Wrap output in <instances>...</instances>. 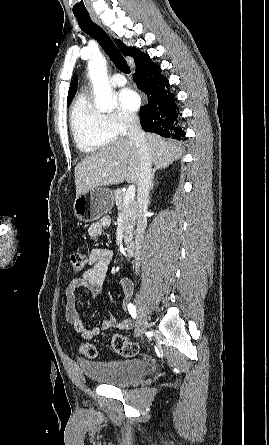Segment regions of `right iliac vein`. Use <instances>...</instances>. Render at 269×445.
Segmentation results:
<instances>
[{"label":"right iliac vein","instance_id":"obj_1","mask_svg":"<svg viewBox=\"0 0 269 445\" xmlns=\"http://www.w3.org/2000/svg\"><path fill=\"white\" fill-rule=\"evenodd\" d=\"M137 307H138V317H137V322H136V327H135V335L136 336H141L145 330V328L147 327L148 321L146 318V315L144 313V307H143V303L140 299L139 296H137Z\"/></svg>","mask_w":269,"mask_h":445}]
</instances>
